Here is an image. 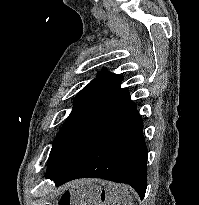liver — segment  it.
I'll list each match as a JSON object with an SVG mask.
<instances>
[{"label":"liver","instance_id":"liver-1","mask_svg":"<svg viewBox=\"0 0 199 205\" xmlns=\"http://www.w3.org/2000/svg\"><path fill=\"white\" fill-rule=\"evenodd\" d=\"M91 188L88 192H83L80 195V202L78 205H98V197L97 193H91ZM108 200H112L113 202L117 203L118 205L126 204L129 202L128 193L125 190L117 191L114 197H108Z\"/></svg>","mask_w":199,"mask_h":205}]
</instances>
